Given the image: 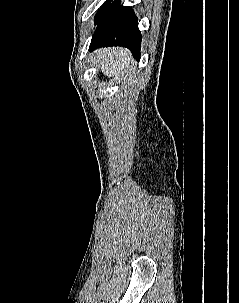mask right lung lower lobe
Here are the masks:
<instances>
[{
	"mask_svg": "<svg viewBox=\"0 0 239 303\" xmlns=\"http://www.w3.org/2000/svg\"><path fill=\"white\" fill-rule=\"evenodd\" d=\"M108 4L95 18V24L98 26L89 50L105 46H123L130 49L133 56L139 60L142 36L135 13L129 6H120V0H115L109 7Z\"/></svg>",
	"mask_w": 239,
	"mask_h": 303,
	"instance_id": "right-lung-lower-lobe-1",
	"label": "right lung lower lobe"
}]
</instances>
